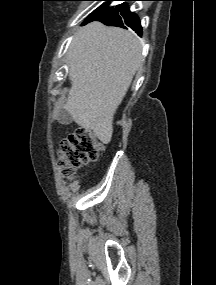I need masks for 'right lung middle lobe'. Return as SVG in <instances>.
Returning <instances> with one entry per match:
<instances>
[{
    "mask_svg": "<svg viewBox=\"0 0 216 285\" xmlns=\"http://www.w3.org/2000/svg\"><path fill=\"white\" fill-rule=\"evenodd\" d=\"M104 1H114V0H104ZM108 9H110V7H108V4H104L101 7H99L97 10H95L87 19L93 18L95 16H98L102 13H104L105 11H107Z\"/></svg>",
    "mask_w": 216,
    "mask_h": 285,
    "instance_id": "obj_1",
    "label": "right lung middle lobe"
}]
</instances>
